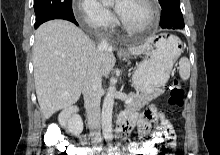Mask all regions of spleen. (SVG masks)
Returning a JSON list of instances; mask_svg holds the SVG:
<instances>
[{
  "instance_id": "3e777b00",
  "label": "spleen",
  "mask_w": 220,
  "mask_h": 155,
  "mask_svg": "<svg viewBox=\"0 0 220 155\" xmlns=\"http://www.w3.org/2000/svg\"><path fill=\"white\" fill-rule=\"evenodd\" d=\"M179 75L183 81L190 77V62L187 57H183L179 61Z\"/></svg>"
}]
</instances>
